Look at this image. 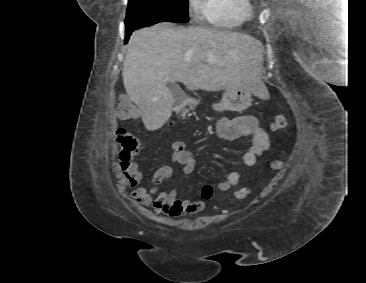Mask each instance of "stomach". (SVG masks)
I'll return each instance as SVG.
<instances>
[{
  "label": "stomach",
  "instance_id": "obj_1",
  "mask_svg": "<svg viewBox=\"0 0 366 283\" xmlns=\"http://www.w3.org/2000/svg\"><path fill=\"white\" fill-rule=\"evenodd\" d=\"M236 102H241V107H237ZM251 102V92L247 87H229L226 89L222 101L214 104L213 109L218 112L239 111L250 106Z\"/></svg>",
  "mask_w": 366,
  "mask_h": 283
}]
</instances>
